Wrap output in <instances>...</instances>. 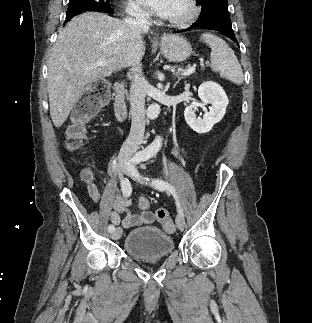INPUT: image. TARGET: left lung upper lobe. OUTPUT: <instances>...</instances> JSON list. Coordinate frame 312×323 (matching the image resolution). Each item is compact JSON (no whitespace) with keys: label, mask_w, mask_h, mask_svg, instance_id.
I'll use <instances>...</instances> for the list:
<instances>
[{"label":"left lung upper lobe","mask_w":312,"mask_h":323,"mask_svg":"<svg viewBox=\"0 0 312 323\" xmlns=\"http://www.w3.org/2000/svg\"><path fill=\"white\" fill-rule=\"evenodd\" d=\"M202 5V11L194 25H204L219 22L220 19L230 21L227 0H197Z\"/></svg>","instance_id":"left-lung-upper-lobe-1"}]
</instances>
